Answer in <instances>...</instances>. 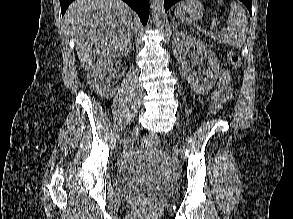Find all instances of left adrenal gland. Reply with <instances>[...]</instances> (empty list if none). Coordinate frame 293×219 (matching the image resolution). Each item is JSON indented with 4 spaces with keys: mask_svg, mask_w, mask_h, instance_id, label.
<instances>
[{
    "mask_svg": "<svg viewBox=\"0 0 293 219\" xmlns=\"http://www.w3.org/2000/svg\"><path fill=\"white\" fill-rule=\"evenodd\" d=\"M177 25H178V23H177V22L175 21V19H174V27L176 28Z\"/></svg>",
    "mask_w": 293,
    "mask_h": 219,
    "instance_id": "left-adrenal-gland-1",
    "label": "left adrenal gland"
}]
</instances>
